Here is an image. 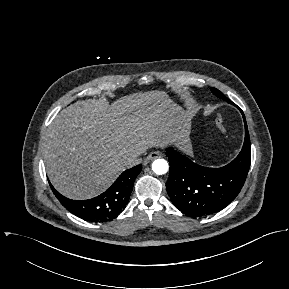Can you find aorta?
Returning a JSON list of instances; mask_svg holds the SVG:
<instances>
[{"label": "aorta", "instance_id": "aorta-1", "mask_svg": "<svg viewBox=\"0 0 289 289\" xmlns=\"http://www.w3.org/2000/svg\"><path fill=\"white\" fill-rule=\"evenodd\" d=\"M169 169L168 162L165 159H156L152 163V170L158 175L165 174Z\"/></svg>", "mask_w": 289, "mask_h": 289}]
</instances>
